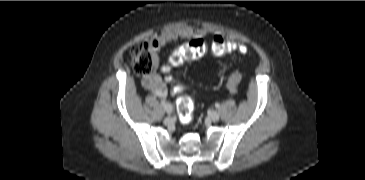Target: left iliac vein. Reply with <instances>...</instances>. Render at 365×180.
Masks as SVG:
<instances>
[{
	"label": "left iliac vein",
	"instance_id": "obj_1",
	"mask_svg": "<svg viewBox=\"0 0 365 180\" xmlns=\"http://www.w3.org/2000/svg\"><path fill=\"white\" fill-rule=\"evenodd\" d=\"M209 117L212 121H218L219 118H220V114L217 112V111H212L210 114H209Z\"/></svg>",
	"mask_w": 365,
	"mask_h": 180
}]
</instances>
